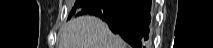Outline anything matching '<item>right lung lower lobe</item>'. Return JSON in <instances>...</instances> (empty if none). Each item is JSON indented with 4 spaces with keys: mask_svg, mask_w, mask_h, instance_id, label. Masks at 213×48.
Segmentation results:
<instances>
[{
    "mask_svg": "<svg viewBox=\"0 0 213 48\" xmlns=\"http://www.w3.org/2000/svg\"><path fill=\"white\" fill-rule=\"evenodd\" d=\"M151 0H87L79 15H95L105 21L134 48H144L148 39Z\"/></svg>",
    "mask_w": 213,
    "mask_h": 48,
    "instance_id": "right-lung-lower-lobe-1",
    "label": "right lung lower lobe"
}]
</instances>
